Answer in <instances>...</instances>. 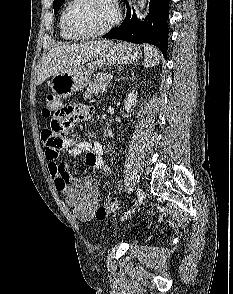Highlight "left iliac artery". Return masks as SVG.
<instances>
[{"label":"left iliac artery","mask_w":233,"mask_h":294,"mask_svg":"<svg viewBox=\"0 0 233 294\" xmlns=\"http://www.w3.org/2000/svg\"><path fill=\"white\" fill-rule=\"evenodd\" d=\"M137 195H138V202H136V203L134 204V206H137L138 203H140V202L143 200V198H144V192H143L141 189H138V190H137ZM126 212H129V210H127ZM126 212H125V213H126Z\"/></svg>","instance_id":"obj_1"}]
</instances>
